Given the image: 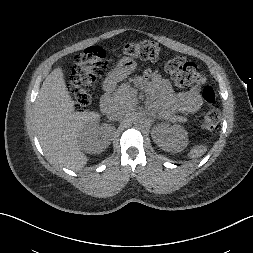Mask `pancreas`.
Masks as SVG:
<instances>
[{"label":"pancreas","mask_w":253,"mask_h":253,"mask_svg":"<svg viewBox=\"0 0 253 253\" xmlns=\"http://www.w3.org/2000/svg\"><path fill=\"white\" fill-rule=\"evenodd\" d=\"M111 103H118L122 105H128L133 101V91L128 84H122L118 89H116L109 97ZM152 107L158 112L159 116L163 119H167L171 122H187V118L172 114L166 111L164 108L158 104H153Z\"/></svg>","instance_id":"obj_1"}]
</instances>
